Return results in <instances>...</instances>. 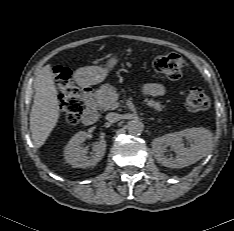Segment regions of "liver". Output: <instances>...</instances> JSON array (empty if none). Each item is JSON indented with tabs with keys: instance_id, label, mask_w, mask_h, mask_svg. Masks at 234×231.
Segmentation results:
<instances>
[{
	"instance_id": "liver-1",
	"label": "liver",
	"mask_w": 234,
	"mask_h": 231,
	"mask_svg": "<svg viewBox=\"0 0 234 231\" xmlns=\"http://www.w3.org/2000/svg\"><path fill=\"white\" fill-rule=\"evenodd\" d=\"M50 65L44 66L36 79L30 130L34 146L40 148L58 123L60 106Z\"/></svg>"
}]
</instances>
